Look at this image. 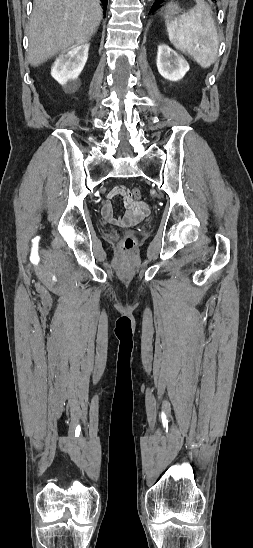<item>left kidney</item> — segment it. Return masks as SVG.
<instances>
[{"label":"left kidney","mask_w":253,"mask_h":548,"mask_svg":"<svg viewBox=\"0 0 253 548\" xmlns=\"http://www.w3.org/2000/svg\"><path fill=\"white\" fill-rule=\"evenodd\" d=\"M157 69L169 81H178L189 71L187 61L166 44L158 46Z\"/></svg>","instance_id":"obj_1"}]
</instances>
